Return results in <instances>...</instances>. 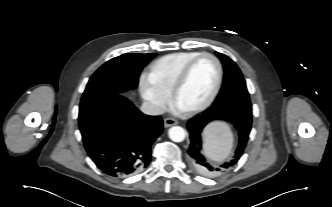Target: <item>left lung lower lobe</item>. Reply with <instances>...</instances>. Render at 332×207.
Returning a JSON list of instances; mask_svg holds the SVG:
<instances>
[{"mask_svg":"<svg viewBox=\"0 0 332 207\" xmlns=\"http://www.w3.org/2000/svg\"><path fill=\"white\" fill-rule=\"evenodd\" d=\"M215 119H223L234 124L239 142L232 158L221 165H211L202 154L203 128ZM252 125V105L250 101L232 100L212 105L204 114L188 121L190 144L189 163L200 174L219 175L234 166L243 155Z\"/></svg>","mask_w":332,"mask_h":207,"instance_id":"0a47b994","label":"left lung lower lobe"}]
</instances>
